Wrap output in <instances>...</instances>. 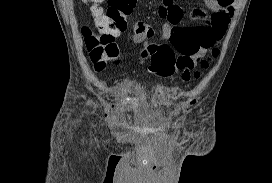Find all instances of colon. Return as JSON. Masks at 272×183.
Masks as SVG:
<instances>
[{"label":"colon","instance_id":"5ec220e1","mask_svg":"<svg viewBox=\"0 0 272 183\" xmlns=\"http://www.w3.org/2000/svg\"><path fill=\"white\" fill-rule=\"evenodd\" d=\"M100 1L83 0L90 25L84 26L82 33L89 57L97 71L117 59L119 52L115 36L125 31L128 17L137 3V0H108L106 10H102ZM216 56L217 50L214 49L210 56L197 60V67L200 70L207 69L211 57ZM143 57L149 61L150 70L159 76L169 77L177 70L176 52L169 44H149L143 51ZM192 76L198 77L199 72L192 74L190 70H183L184 80H189Z\"/></svg>","mask_w":272,"mask_h":183}]
</instances>
